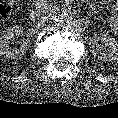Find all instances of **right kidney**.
Returning <instances> with one entry per match:
<instances>
[{"label":"right kidney","mask_w":118,"mask_h":118,"mask_svg":"<svg viewBox=\"0 0 118 118\" xmlns=\"http://www.w3.org/2000/svg\"><path fill=\"white\" fill-rule=\"evenodd\" d=\"M23 32V28L21 26H14L12 28H8L3 32L0 36V56H4L8 59H16L24 55L26 50L29 48V42H24L19 49H11L10 43L13 40L15 35H19Z\"/></svg>","instance_id":"right-kidney-1"}]
</instances>
